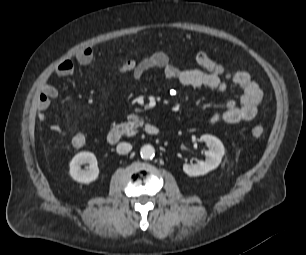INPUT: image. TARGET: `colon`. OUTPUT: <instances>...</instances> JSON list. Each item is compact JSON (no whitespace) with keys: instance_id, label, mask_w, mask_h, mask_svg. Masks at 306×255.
Wrapping results in <instances>:
<instances>
[{"instance_id":"1","label":"colon","mask_w":306,"mask_h":255,"mask_svg":"<svg viewBox=\"0 0 306 255\" xmlns=\"http://www.w3.org/2000/svg\"><path fill=\"white\" fill-rule=\"evenodd\" d=\"M122 70H127V65L125 62L122 64ZM265 129L262 125H255L251 129V135L254 138H261L264 135ZM86 139L83 134H76L72 140L71 145L74 149H81L85 145Z\"/></svg>"}]
</instances>
